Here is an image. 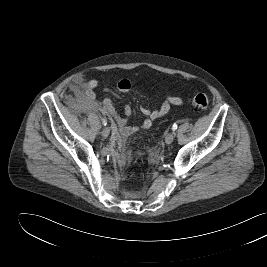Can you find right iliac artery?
<instances>
[{
  "mask_svg": "<svg viewBox=\"0 0 267 267\" xmlns=\"http://www.w3.org/2000/svg\"><path fill=\"white\" fill-rule=\"evenodd\" d=\"M102 124L106 125L107 124V120L106 119H102Z\"/></svg>",
  "mask_w": 267,
  "mask_h": 267,
  "instance_id": "right-iliac-artery-1",
  "label": "right iliac artery"
}]
</instances>
